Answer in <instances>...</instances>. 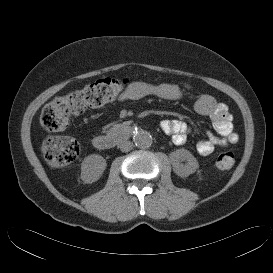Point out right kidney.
Here are the masks:
<instances>
[{"label":"right kidney","mask_w":273,"mask_h":273,"mask_svg":"<svg viewBox=\"0 0 273 273\" xmlns=\"http://www.w3.org/2000/svg\"><path fill=\"white\" fill-rule=\"evenodd\" d=\"M106 160L97 154H92L84 158L81 164V179L85 183L97 181L106 168Z\"/></svg>","instance_id":"obj_1"}]
</instances>
